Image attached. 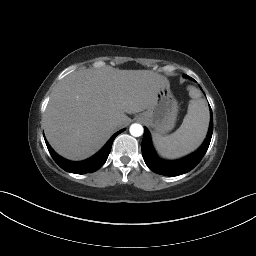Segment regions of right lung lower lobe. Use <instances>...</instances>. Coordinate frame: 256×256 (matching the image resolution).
Returning a JSON list of instances; mask_svg holds the SVG:
<instances>
[{
  "mask_svg": "<svg viewBox=\"0 0 256 256\" xmlns=\"http://www.w3.org/2000/svg\"><path fill=\"white\" fill-rule=\"evenodd\" d=\"M124 129L116 132L106 143V145L94 156L91 158L84 160V161H79V162H73L66 160L62 157H60L48 144L46 141L45 137V142L47 145V148L54 159V161L65 171L70 172V173H76V174H86V173H92L96 170H98L100 167L104 165L106 162L108 155L111 151L112 143L114 139L116 138L117 135H119L121 132H123Z\"/></svg>",
  "mask_w": 256,
  "mask_h": 256,
  "instance_id": "right-lung-lower-lobe-1",
  "label": "right lung lower lobe"
}]
</instances>
